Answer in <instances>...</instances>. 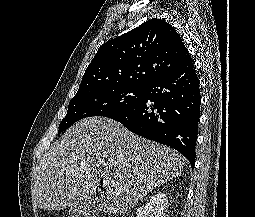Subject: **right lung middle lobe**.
I'll return each mask as SVG.
<instances>
[{
	"mask_svg": "<svg viewBox=\"0 0 255 217\" xmlns=\"http://www.w3.org/2000/svg\"><path fill=\"white\" fill-rule=\"evenodd\" d=\"M145 90L146 86H109L78 91L69 102L58 134L83 118L107 116L128 109L143 97Z\"/></svg>",
	"mask_w": 255,
	"mask_h": 217,
	"instance_id": "obj_1",
	"label": "right lung middle lobe"
}]
</instances>
